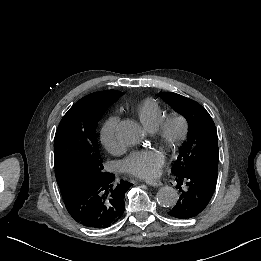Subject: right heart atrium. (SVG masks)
I'll return each instance as SVG.
<instances>
[{"instance_id": "right-heart-atrium-1", "label": "right heart atrium", "mask_w": 261, "mask_h": 261, "mask_svg": "<svg viewBox=\"0 0 261 261\" xmlns=\"http://www.w3.org/2000/svg\"><path fill=\"white\" fill-rule=\"evenodd\" d=\"M119 118L115 115L110 116L101 131V142L104 149L111 155H117L122 151V147L117 143L115 129Z\"/></svg>"}]
</instances>
